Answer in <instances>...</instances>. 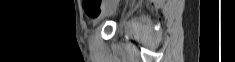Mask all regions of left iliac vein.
<instances>
[{
  "instance_id": "obj_1",
  "label": "left iliac vein",
  "mask_w": 235,
  "mask_h": 62,
  "mask_svg": "<svg viewBox=\"0 0 235 62\" xmlns=\"http://www.w3.org/2000/svg\"><path fill=\"white\" fill-rule=\"evenodd\" d=\"M117 6L116 0L110 4H107L102 11V14L100 17L95 21V23H99L104 17L108 15L109 12H111L115 7Z\"/></svg>"
}]
</instances>
